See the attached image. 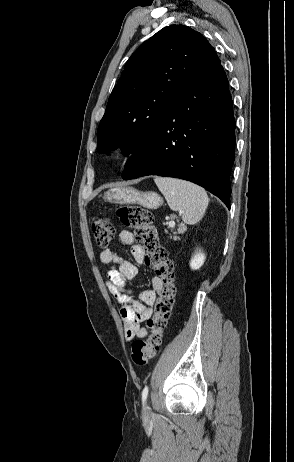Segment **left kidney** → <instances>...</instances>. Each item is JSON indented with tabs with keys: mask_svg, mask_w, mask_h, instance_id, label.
Listing matches in <instances>:
<instances>
[{
	"mask_svg": "<svg viewBox=\"0 0 294 462\" xmlns=\"http://www.w3.org/2000/svg\"><path fill=\"white\" fill-rule=\"evenodd\" d=\"M205 254L200 250L196 249L195 254L192 256L190 260V267L192 270L199 269L205 262Z\"/></svg>",
	"mask_w": 294,
	"mask_h": 462,
	"instance_id": "obj_1",
	"label": "left kidney"
}]
</instances>
